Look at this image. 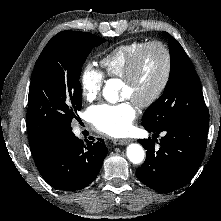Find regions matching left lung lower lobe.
I'll use <instances>...</instances> for the list:
<instances>
[{
    "instance_id": "0a47b994",
    "label": "left lung lower lobe",
    "mask_w": 221,
    "mask_h": 221,
    "mask_svg": "<svg viewBox=\"0 0 221 221\" xmlns=\"http://www.w3.org/2000/svg\"><path fill=\"white\" fill-rule=\"evenodd\" d=\"M209 114L203 118L176 120L160 131L166 132L160 139V148L155 143L141 139L146 151L144 164L136 170L138 179L148 187L169 193L185 186L197 172L206 150Z\"/></svg>"
}]
</instances>
